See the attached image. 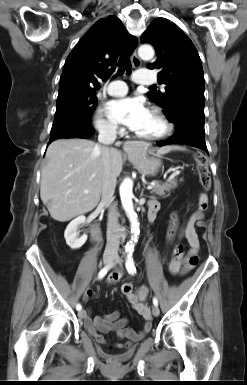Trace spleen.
<instances>
[{
    "instance_id": "obj_1",
    "label": "spleen",
    "mask_w": 247,
    "mask_h": 385,
    "mask_svg": "<svg viewBox=\"0 0 247 385\" xmlns=\"http://www.w3.org/2000/svg\"><path fill=\"white\" fill-rule=\"evenodd\" d=\"M173 150H181V151H185L186 148L182 147V146H178V145H168V146H163L161 148H159L157 150V155H163V154H166L170 151H173Z\"/></svg>"
}]
</instances>
